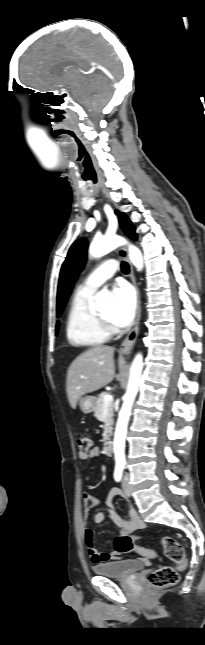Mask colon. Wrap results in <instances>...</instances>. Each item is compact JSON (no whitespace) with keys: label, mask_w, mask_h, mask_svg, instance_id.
<instances>
[{"label":"colon","mask_w":205,"mask_h":645,"mask_svg":"<svg viewBox=\"0 0 205 645\" xmlns=\"http://www.w3.org/2000/svg\"><path fill=\"white\" fill-rule=\"evenodd\" d=\"M79 451L88 452L92 448V440L87 436H79L77 439ZM138 536L119 535L114 540V549L120 554L136 553L144 558H154L156 553L148 548L135 543ZM164 553L168 559L175 563V567L162 566L148 575V584L152 588H166L173 586L179 581V572L186 567L185 551L181 543L170 536L161 538Z\"/></svg>","instance_id":"5ec220e1"}]
</instances>
